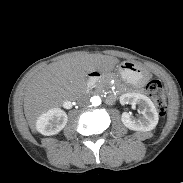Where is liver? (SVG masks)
Here are the masks:
<instances>
[{
	"label": "liver",
	"instance_id": "6515ba94",
	"mask_svg": "<svg viewBox=\"0 0 183 183\" xmlns=\"http://www.w3.org/2000/svg\"><path fill=\"white\" fill-rule=\"evenodd\" d=\"M118 62L112 56L76 54L37 72L24 90V112L31 129L36 132V121L43 112L60 107L75 91L84 89L89 73L110 71Z\"/></svg>",
	"mask_w": 183,
	"mask_h": 183
}]
</instances>
